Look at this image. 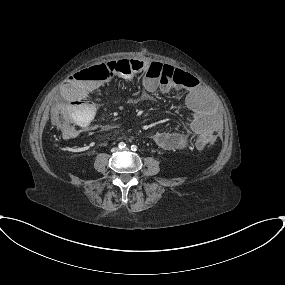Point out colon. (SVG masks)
<instances>
[{"instance_id":"1","label":"colon","mask_w":285,"mask_h":285,"mask_svg":"<svg viewBox=\"0 0 285 285\" xmlns=\"http://www.w3.org/2000/svg\"><path fill=\"white\" fill-rule=\"evenodd\" d=\"M141 68L142 64L134 60H115L84 69L79 74V78L84 80H99L108 75L130 78L138 74ZM146 73L169 88L185 83V75L180 70L164 66L161 63H152ZM90 122L91 116L81 118L82 125H88ZM51 123L62 134L73 133L76 130L75 125L71 121L70 113L62 105L54 108ZM201 143L203 147L210 146L213 143V137L205 134L201 137Z\"/></svg>"}]
</instances>
